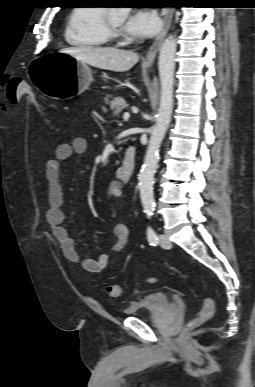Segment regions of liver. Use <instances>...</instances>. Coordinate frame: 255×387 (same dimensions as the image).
Segmentation results:
<instances>
[{
    "mask_svg": "<svg viewBox=\"0 0 255 387\" xmlns=\"http://www.w3.org/2000/svg\"><path fill=\"white\" fill-rule=\"evenodd\" d=\"M60 52L90 66L114 72L128 71L139 61L137 53L117 48L81 46L61 49Z\"/></svg>",
    "mask_w": 255,
    "mask_h": 387,
    "instance_id": "1",
    "label": "liver"
}]
</instances>
